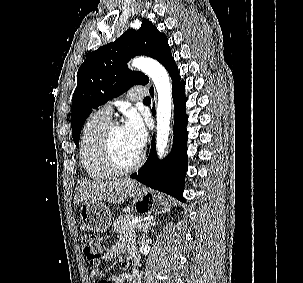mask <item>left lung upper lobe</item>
Returning a JSON list of instances; mask_svg holds the SVG:
<instances>
[{
	"label": "left lung upper lobe",
	"mask_w": 303,
	"mask_h": 283,
	"mask_svg": "<svg viewBox=\"0 0 303 283\" xmlns=\"http://www.w3.org/2000/svg\"><path fill=\"white\" fill-rule=\"evenodd\" d=\"M146 55L165 68L173 60L165 34L143 19L139 30L129 29L116 41L90 53L77 73V86L72 98V137L78 146L82 126L91 112L134 85H146L149 78L128 69L127 62Z\"/></svg>",
	"instance_id": "5c2ea615"
}]
</instances>
